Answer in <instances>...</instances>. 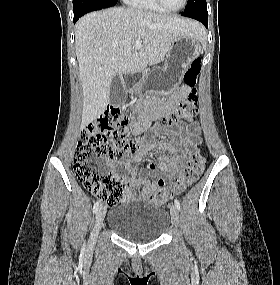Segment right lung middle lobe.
Here are the masks:
<instances>
[{
	"mask_svg": "<svg viewBox=\"0 0 280 285\" xmlns=\"http://www.w3.org/2000/svg\"><path fill=\"white\" fill-rule=\"evenodd\" d=\"M118 0H73L74 14L116 5Z\"/></svg>",
	"mask_w": 280,
	"mask_h": 285,
	"instance_id": "obj_1",
	"label": "right lung middle lobe"
}]
</instances>
